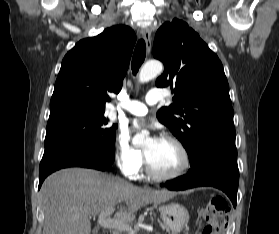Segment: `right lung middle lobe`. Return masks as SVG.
<instances>
[{"label":"right lung middle lobe","instance_id":"obj_1","mask_svg":"<svg viewBox=\"0 0 279 234\" xmlns=\"http://www.w3.org/2000/svg\"><path fill=\"white\" fill-rule=\"evenodd\" d=\"M117 125H110L104 110L62 108L50 111L45 150L74 142L88 146L111 162L115 159Z\"/></svg>","mask_w":279,"mask_h":234}]
</instances>
